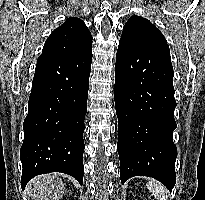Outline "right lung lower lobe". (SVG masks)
Wrapping results in <instances>:
<instances>
[{"instance_id":"right-lung-lower-lobe-1","label":"right lung lower lobe","mask_w":205,"mask_h":200,"mask_svg":"<svg viewBox=\"0 0 205 200\" xmlns=\"http://www.w3.org/2000/svg\"><path fill=\"white\" fill-rule=\"evenodd\" d=\"M91 62L92 48L73 56L38 58L20 151L23 189L33 177L50 172L71 175L82 185Z\"/></svg>"}]
</instances>
